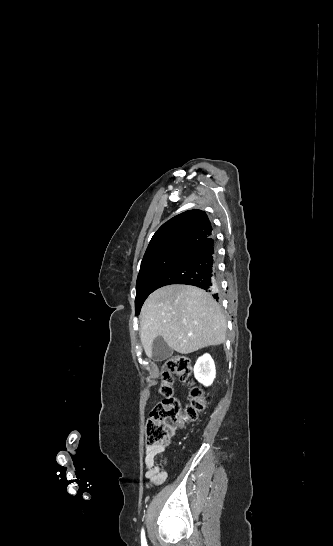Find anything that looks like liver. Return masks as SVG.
<instances>
[{
  "instance_id": "6515ba94",
  "label": "liver",
  "mask_w": 333,
  "mask_h": 546,
  "mask_svg": "<svg viewBox=\"0 0 333 546\" xmlns=\"http://www.w3.org/2000/svg\"><path fill=\"white\" fill-rule=\"evenodd\" d=\"M141 341L146 355L158 336L180 354L225 342L227 323L211 294L190 285L172 284L154 291L144 302Z\"/></svg>"
}]
</instances>
